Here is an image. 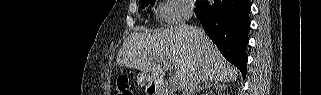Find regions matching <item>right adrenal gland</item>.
Here are the masks:
<instances>
[{
    "instance_id": "obj_1",
    "label": "right adrenal gland",
    "mask_w": 321,
    "mask_h": 95,
    "mask_svg": "<svg viewBox=\"0 0 321 95\" xmlns=\"http://www.w3.org/2000/svg\"><path fill=\"white\" fill-rule=\"evenodd\" d=\"M208 87H215L219 91H223L226 88V84L225 83H219V82H216V81H206L204 85L199 86L192 94H194L196 92H199L200 90H203L204 88H208Z\"/></svg>"
}]
</instances>
